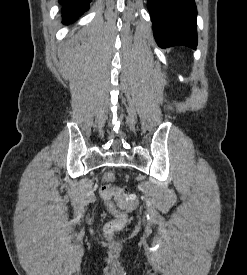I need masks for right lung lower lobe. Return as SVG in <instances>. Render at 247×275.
<instances>
[{"instance_id":"98d812e1","label":"right lung lower lobe","mask_w":247,"mask_h":275,"mask_svg":"<svg viewBox=\"0 0 247 275\" xmlns=\"http://www.w3.org/2000/svg\"><path fill=\"white\" fill-rule=\"evenodd\" d=\"M91 0H59L62 4L63 23L69 24L89 9Z\"/></svg>"}]
</instances>
